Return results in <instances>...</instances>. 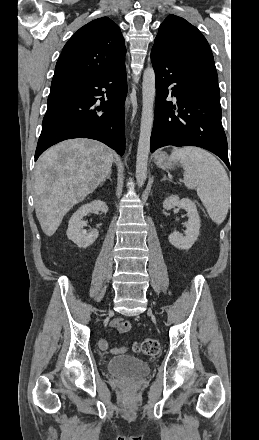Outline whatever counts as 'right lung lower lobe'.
<instances>
[{"label": "right lung lower lobe", "instance_id": "98d812e1", "mask_svg": "<svg viewBox=\"0 0 259 440\" xmlns=\"http://www.w3.org/2000/svg\"><path fill=\"white\" fill-rule=\"evenodd\" d=\"M105 94L107 101L101 97ZM126 95L125 64L76 82L51 85L35 160L50 146L71 138L95 139L123 155Z\"/></svg>", "mask_w": 259, "mask_h": 440}]
</instances>
